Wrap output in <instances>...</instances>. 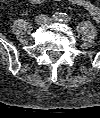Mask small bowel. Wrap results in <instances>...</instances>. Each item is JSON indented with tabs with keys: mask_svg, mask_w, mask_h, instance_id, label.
<instances>
[{
	"mask_svg": "<svg viewBox=\"0 0 100 118\" xmlns=\"http://www.w3.org/2000/svg\"><path fill=\"white\" fill-rule=\"evenodd\" d=\"M32 4H40L44 0H25ZM61 1V0H53ZM68 2L85 9L95 20L100 21V8L91 0H67Z\"/></svg>",
	"mask_w": 100,
	"mask_h": 118,
	"instance_id": "1",
	"label": "small bowel"
}]
</instances>
